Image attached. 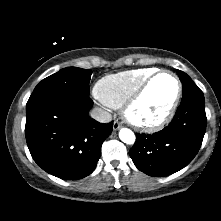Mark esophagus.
<instances>
[{
  "mask_svg": "<svg viewBox=\"0 0 221 221\" xmlns=\"http://www.w3.org/2000/svg\"><path fill=\"white\" fill-rule=\"evenodd\" d=\"M121 127H122V123L120 121H118V120L114 121V123H113V129L114 130H118Z\"/></svg>",
  "mask_w": 221,
  "mask_h": 221,
  "instance_id": "obj_1",
  "label": "esophagus"
}]
</instances>
